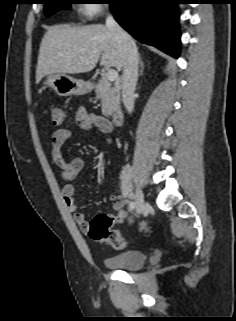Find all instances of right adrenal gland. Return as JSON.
I'll return each mask as SVG.
<instances>
[{"label": "right adrenal gland", "instance_id": "1", "mask_svg": "<svg viewBox=\"0 0 236 321\" xmlns=\"http://www.w3.org/2000/svg\"><path fill=\"white\" fill-rule=\"evenodd\" d=\"M138 60H139V65H140L139 75H142L143 74V70H144V63L142 62V59H141L140 56H139Z\"/></svg>", "mask_w": 236, "mask_h": 321}]
</instances>
